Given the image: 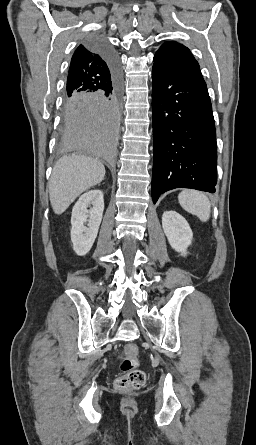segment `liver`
Returning a JSON list of instances; mask_svg holds the SVG:
<instances>
[{"instance_id":"liver-1","label":"liver","mask_w":256,"mask_h":445,"mask_svg":"<svg viewBox=\"0 0 256 445\" xmlns=\"http://www.w3.org/2000/svg\"><path fill=\"white\" fill-rule=\"evenodd\" d=\"M105 167L92 157H61L49 181V196L55 214H62L84 191L102 182Z\"/></svg>"}]
</instances>
